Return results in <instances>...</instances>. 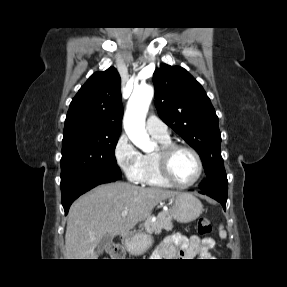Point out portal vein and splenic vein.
Segmentation results:
<instances>
[{
    "instance_id": "obj_1",
    "label": "portal vein and splenic vein",
    "mask_w": 287,
    "mask_h": 287,
    "mask_svg": "<svg viewBox=\"0 0 287 287\" xmlns=\"http://www.w3.org/2000/svg\"><path fill=\"white\" fill-rule=\"evenodd\" d=\"M127 214H128V210H124V211H122V213H121L122 216H127Z\"/></svg>"
}]
</instances>
